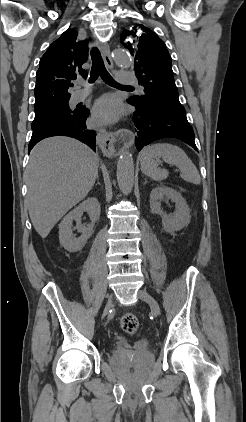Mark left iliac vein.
<instances>
[{
  "label": "left iliac vein",
  "mask_w": 246,
  "mask_h": 422,
  "mask_svg": "<svg viewBox=\"0 0 246 422\" xmlns=\"http://www.w3.org/2000/svg\"><path fill=\"white\" fill-rule=\"evenodd\" d=\"M138 297L150 306L155 316L160 315L159 304L149 293H147L145 290H139Z\"/></svg>",
  "instance_id": "left-iliac-vein-1"
}]
</instances>
